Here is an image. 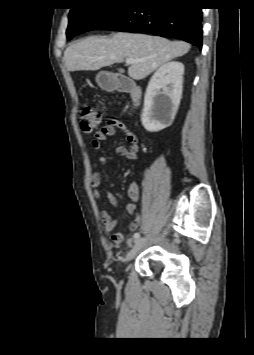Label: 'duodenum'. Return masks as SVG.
<instances>
[{"label":"duodenum","instance_id":"duodenum-1","mask_svg":"<svg viewBox=\"0 0 254 355\" xmlns=\"http://www.w3.org/2000/svg\"><path fill=\"white\" fill-rule=\"evenodd\" d=\"M106 89L116 90L118 92H129L131 94L132 103L137 106L141 99V89L134 86L128 79L124 77L112 78L103 83Z\"/></svg>","mask_w":254,"mask_h":355}]
</instances>
